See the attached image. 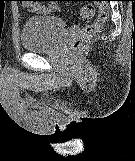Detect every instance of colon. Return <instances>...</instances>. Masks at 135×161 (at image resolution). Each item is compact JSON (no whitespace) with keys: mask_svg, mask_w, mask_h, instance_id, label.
<instances>
[{"mask_svg":"<svg viewBox=\"0 0 135 161\" xmlns=\"http://www.w3.org/2000/svg\"><path fill=\"white\" fill-rule=\"evenodd\" d=\"M51 1H56V0H51ZM99 2L98 4H85L81 8L80 15L83 18H90L94 15L95 12V6L98 7L99 11L96 16V19L84 26V28L75 36L73 39L71 46L73 50L77 51L80 50L86 41L97 34L101 27L102 24L107 20L109 16V6L106 3H103L104 1H97Z\"/></svg>","mask_w":135,"mask_h":161,"instance_id":"obj_1","label":"colon"}]
</instances>
